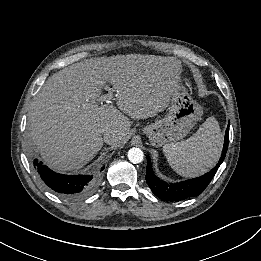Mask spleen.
<instances>
[{
  "mask_svg": "<svg viewBox=\"0 0 261 261\" xmlns=\"http://www.w3.org/2000/svg\"><path fill=\"white\" fill-rule=\"evenodd\" d=\"M223 135L218 121L209 117L186 141L163 146L173 170L181 176L194 177L213 167L220 157Z\"/></svg>",
  "mask_w": 261,
  "mask_h": 261,
  "instance_id": "obj_1",
  "label": "spleen"
}]
</instances>
